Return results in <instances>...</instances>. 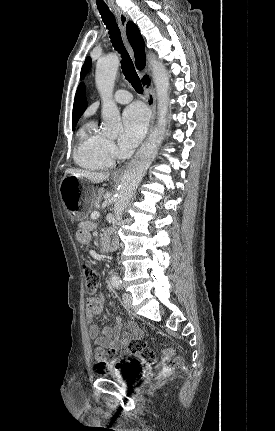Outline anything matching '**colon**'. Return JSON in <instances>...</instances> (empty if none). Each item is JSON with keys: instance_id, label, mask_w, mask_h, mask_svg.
Segmentation results:
<instances>
[{"instance_id": "obj_1", "label": "colon", "mask_w": 275, "mask_h": 431, "mask_svg": "<svg viewBox=\"0 0 275 431\" xmlns=\"http://www.w3.org/2000/svg\"><path fill=\"white\" fill-rule=\"evenodd\" d=\"M83 271L88 293H96L100 278L97 265L93 262H84ZM125 350L136 355L153 369L158 368L160 365L170 363V366L164 368L161 372V377L166 376L172 368H179L184 364V359L181 356H175L174 351L170 348H164L160 352L159 360L155 361L153 351L143 341L132 340L127 344ZM118 354L119 351L116 349L110 350L108 354L98 350L96 353L97 370L99 372H107L111 368L118 366Z\"/></svg>"}]
</instances>
